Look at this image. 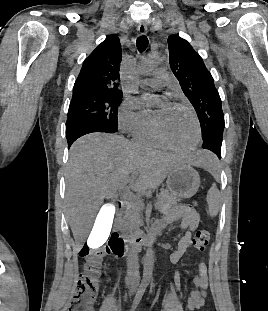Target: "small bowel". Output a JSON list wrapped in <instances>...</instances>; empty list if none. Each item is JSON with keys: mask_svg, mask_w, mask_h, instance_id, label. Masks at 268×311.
<instances>
[{"mask_svg": "<svg viewBox=\"0 0 268 311\" xmlns=\"http://www.w3.org/2000/svg\"><path fill=\"white\" fill-rule=\"evenodd\" d=\"M174 223H179L184 230L183 236L178 241L177 248L170 255L171 262L177 264L193 244L194 233L199 225V214L189 206L176 207L164 219L156 222L154 230L161 231ZM175 286L179 291V275L176 276ZM193 286L194 289L189 293L186 302V307L190 311L199 309L205 302L208 287V271L206 264L203 262H200L198 265V273L193 279ZM180 298L182 299L181 296Z\"/></svg>", "mask_w": 268, "mask_h": 311, "instance_id": "1", "label": "small bowel"}]
</instances>
